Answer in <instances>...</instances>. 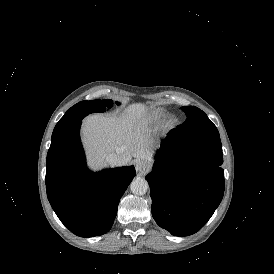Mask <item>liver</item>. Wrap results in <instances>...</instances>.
<instances>
[{
    "label": "liver",
    "mask_w": 274,
    "mask_h": 274,
    "mask_svg": "<svg viewBox=\"0 0 274 274\" xmlns=\"http://www.w3.org/2000/svg\"><path fill=\"white\" fill-rule=\"evenodd\" d=\"M146 115L144 104L133 103L120 116L114 113L86 117L81 133L90 168L106 166L105 158L112 153L118 155L119 165L131 163L132 157L151 162L148 127L143 121Z\"/></svg>",
    "instance_id": "6515ba94"
}]
</instances>
